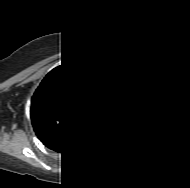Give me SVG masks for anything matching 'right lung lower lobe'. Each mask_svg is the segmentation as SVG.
<instances>
[{"label": "right lung lower lobe", "mask_w": 190, "mask_h": 188, "mask_svg": "<svg viewBox=\"0 0 190 188\" xmlns=\"http://www.w3.org/2000/svg\"><path fill=\"white\" fill-rule=\"evenodd\" d=\"M83 141H84V139L81 142H79L78 144L65 146V147L60 148V149H58L56 151L61 152V153H68V152L74 151L83 143Z\"/></svg>", "instance_id": "1"}]
</instances>
